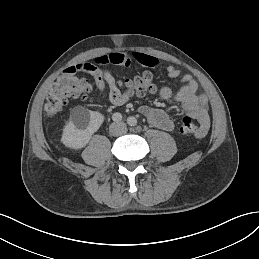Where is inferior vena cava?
Returning a JSON list of instances; mask_svg holds the SVG:
<instances>
[{"label":"inferior vena cava","mask_w":259,"mask_h":259,"mask_svg":"<svg viewBox=\"0 0 259 259\" xmlns=\"http://www.w3.org/2000/svg\"><path fill=\"white\" fill-rule=\"evenodd\" d=\"M110 134L113 136L123 135L126 131V125L123 122H114L110 125Z\"/></svg>","instance_id":"obj_1"}]
</instances>
